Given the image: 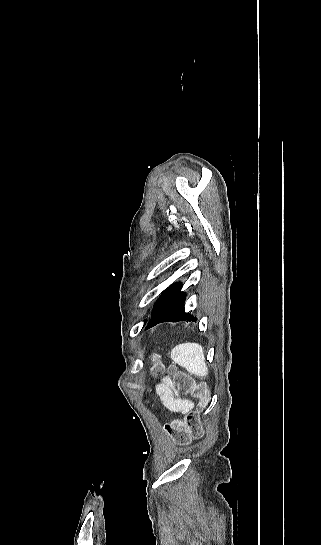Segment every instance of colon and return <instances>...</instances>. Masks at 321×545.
Here are the masks:
<instances>
[{
    "instance_id": "1",
    "label": "colon",
    "mask_w": 321,
    "mask_h": 545,
    "mask_svg": "<svg viewBox=\"0 0 321 545\" xmlns=\"http://www.w3.org/2000/svg\"><path fill=\"white\" fill-rule=\"evenodd\" d=\"M175 388L177 391L189 393L199 400V409L202 410L209 402V394L202 384H196L180 372H174ZM165 431L178 443H186L192 438H199L203 434L200 425L199 411H189L181 419H176L165 425Z\"/></svg>"
}]
</instances>
